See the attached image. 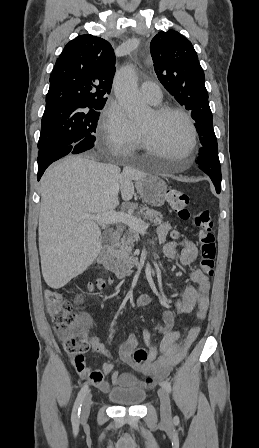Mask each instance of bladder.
Masks as SVG:
<instances>
[{
  "instance_id": "bladder-1",
  "label": "bladder",
  "mask_w": 259,
  "mask_h": 448,
  "mask_svg": "<svg viewBox=\"0 0 259 448\" xmlns=\"http://www.w3.org/2000/svg\"><path fill=\"white\" fill-rule=\"evenodd\" d=\"M108 398L117 405L136 406L145 400L146 391L139 386L114 388L109 391Z\"/></svg>"
}]
</instances>
